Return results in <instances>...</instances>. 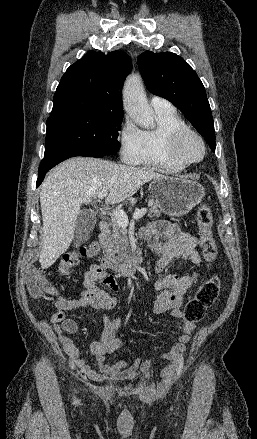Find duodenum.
<instances>
[{
	"mask_svg": "<svg viewBox=\"0 0 257 439\" xmlns=\"http://www.w3.org/2000/svg\"><path fill=\"white\" fill-rule=\"evenodd\" d=\"M108 229L109 225L107 221L100 220L98 222L99 238L103 245L106 243ZM141 261L142 255L139 251H137L133 255L128 256L122 262H113L110 260V258L104 257L101 259L100 265L102 268L112 269L120 275L128 276L134 274L137 271Z\"/></svg>",
	"mask_w": 257,
	"mask_h": 439,
	"instance_id": "duodenum-1",
	"label": "duodenum"
}]
</instances>
